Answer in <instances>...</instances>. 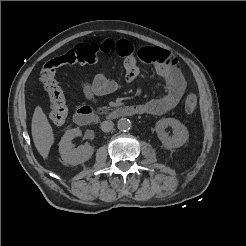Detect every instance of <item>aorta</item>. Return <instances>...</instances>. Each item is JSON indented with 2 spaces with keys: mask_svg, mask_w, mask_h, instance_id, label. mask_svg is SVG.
I'll use <instances>...</instances> for the list:
<instances>
[{
  "mask_svg": "<svg viewBox=\"0 0 246 246\" xmlns=\"http://www.w3.org/2000/svg\"><path fill=\"white\" fill-rule=\"evenodd\" d=\"M131 126H132L131 121L127 118H121L117 122V128L123 132L130 130Z\"/></svg>",
  "mask_w": 246,
  "mask_h": 246,
  "instance_id": "1",
  "label": "aorta"
}]
</instances>
